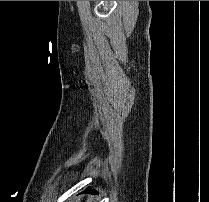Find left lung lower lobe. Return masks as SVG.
<instances>
[{
    "mask_svg": "<svg viewBox=\"0 0 209 202\" xmlns=\"http://www.w3.org/2000/svg\"><path fill=\"white\" fill-rule=\"evenodd\" d=\"M83 193H90V194H94V195L98 194V192L92 191V190H86Z\"/></svg>",
    "mask_w": 209,
    "mask_h": 202,
    "instance_id": "left-lung-lower-lobe-1",
    "label": "left lung lower lobe"
}]
</instances>
